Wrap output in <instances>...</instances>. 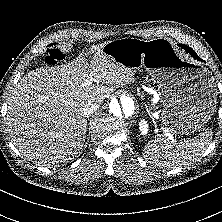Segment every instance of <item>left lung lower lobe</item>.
<instances>
[{"instance_id": "0a47b994", "label": "left lung lower lobe", "mask_w": 222, "mask_h": 222, "mask_svg": "<svg viewBox=\"0 0 222 222\" xmlns=\"http://www.w3.org/2000/svg\"><path fill=\"white\" fill-rule=\"evenodd\" d=\"M186 50V49H185ZM188 53H190L194 58L201 60L197 54L191 49V50H186ZM202 61V60H201Z\"/></svg>"}]
</instances>
